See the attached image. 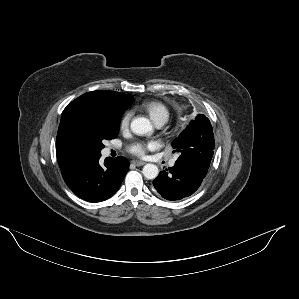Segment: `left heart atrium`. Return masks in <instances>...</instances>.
I'll use <instances>...</instances> for the list:
<instances>
[{
	"label": "left heart atrium",
	"instance_id": "obj_1",
	"mask_svg": "<svg viewBox=\"0 0 299 299\" xmlns=\"http://www.w3.org/2000/svg\"><path fill=\"white\" fill-rule=\"evenodd\" d=\"M147 147L145 144L135 143L130 147V152L137 156H142L145 154Z\"/></svg>",
	"mask_w": 299,
	"mask_h": 299
}]
</instances>
